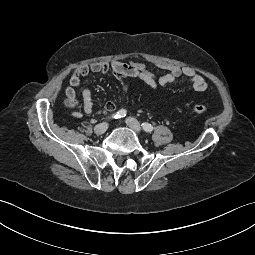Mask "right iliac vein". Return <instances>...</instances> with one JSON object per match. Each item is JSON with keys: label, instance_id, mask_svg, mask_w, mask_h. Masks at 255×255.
<instances>
[{"label": "right iliac vein", "instance_id": "right-iliac-vein-1", "mask_svg": "<svg viewBox=\"0 0 255 255\" xmlns=\"http://www.w3.org/2000/svg\"><path fill=\"white\" fill-rule=\"evenodd\" d=\"M107 128H108V124L106 122H103V123H100L97 126H95L94 132L97 135H102L106 132Z\"/></svg>", "mask_w": 255, "mask_h": 255}]
</instances>
